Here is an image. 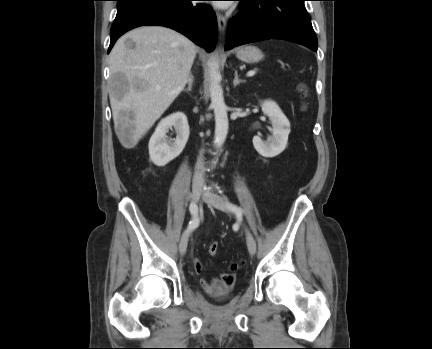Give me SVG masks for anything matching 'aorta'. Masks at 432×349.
Segmentation results:
<instances>
[{
    "instance_id": "aorta-1",
    "label": "aorta",
    "mask_w": 432,
    "mask_h": 349,
    "mask_svg": "<svg viewBox=\"0 0 432 349\" xmlns=\"http://www.w3.org/2000/svg\"><path fill=\"white\" fill-rule=\"evenodd\" d=\"M210 73V106L214 110L215 116V147L220 149L224 144L228 134L227 106L224 101L223 89L220 85L221 75L219 72V62L217 55L213 56L209 62Z\"/></svg>"
}]
</instances>
